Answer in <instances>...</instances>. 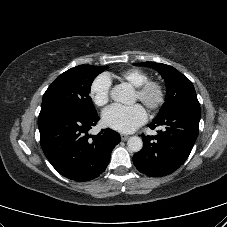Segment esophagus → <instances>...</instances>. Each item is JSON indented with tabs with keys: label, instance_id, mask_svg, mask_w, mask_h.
Instances as JSON below:
<instances>
[{
	"label": "esophagus",
	"instance_id": "obj_1",
	"mask_svg": "<svg viewBox=\"0 0 227 227\" xmlns=\"http://www.w3.org/2000/svg\"><path fill=\"white\" fill-rule=\"evenodd\" d=\"M129 139V136L128 135H121V140L122 141H126V140H128Z\"/></svg>",
	"mask_w": 227,
	"mask_h": 227
}]
</instances>
